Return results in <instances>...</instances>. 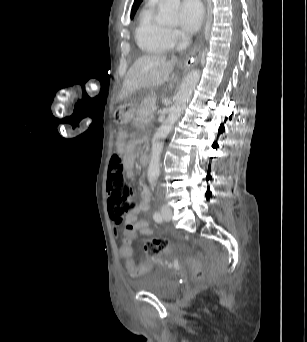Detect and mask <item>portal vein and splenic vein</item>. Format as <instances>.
Wrapping results in <instances>:
<instances>
[{"label":"portal vein and splenic vein","instance_id":"portal-vein-and-splenic-vein-1","mask_svg":"<svg viewBox=\"0 0 307 342\" xmlns=\"http://www.w3.org/2000/svg\"><path fill=\"white\" fill-rule=\"evenodd\" d=\"M152 111H153V112H156V111H157V108H156V107H153V108H152Z\"/></svg>","mask_w":307,"mask_h":342}]
</instances>
